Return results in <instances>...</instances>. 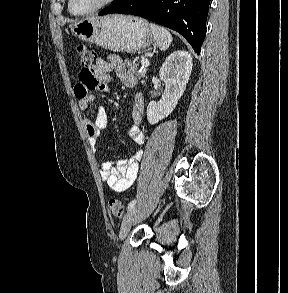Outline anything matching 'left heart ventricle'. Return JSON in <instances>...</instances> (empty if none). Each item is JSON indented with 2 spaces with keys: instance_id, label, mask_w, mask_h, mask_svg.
<instances>
[{
  "instance_id": "obj_1",
  "label": "left heart ventricle",
  "mask_w": 288,
  "mask_h": 293,
  "mask_svg": "<svg viewBox=\"0 0 288 293\" xmlns=\"http://www.w3.org/2000/svg\"><path fill=\"white\" fill-rule=\"evenodd\" d=\"M101 0H73L72 9L76 12L88 10L97 5Z\"/></svg>"
}]
</instances>
